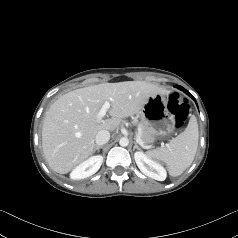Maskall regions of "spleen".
Wrapping results in <instances>:
<instances>
[{"mask_svg": "<svg viewBox=\"0 0 238 238\" xmlns=\"http://www.w3.org/2000/svg\"><path fill=\"white\" fill-rule=\"evenodd\" d=\"M198 124L195 116L189 120L187 128L173 138L165 147L156 148L147 152L151 159L166 164L169 175H181L194 160L198 147Z\"/></svg>", "mask_w": 238, "mask_h": 238, "instance_id": "spleen-1", "label": "spleen"}]
</instances>
